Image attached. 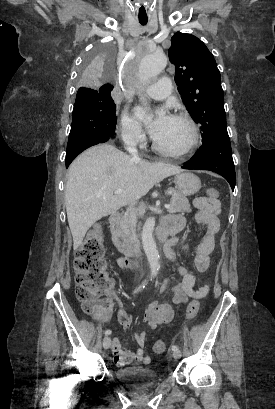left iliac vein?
<instances>
[{
  "label": "left iliac vein",
  "instance_id": "4c4485c4",
  "mask_svg": "<svg viewBox=\"0 0 275 409\" xmlns=\"http://www.w3.org/2000/svg\"><path fill=\"white\" fill-rule=\"evenodd\" d=\"M172 356H173L175 359H179V358L181 357L180 351H179V350L173 351V352H172Z\"/></svg>",
  "mask_w": 275,
  "mask_h": 409
}]
</instances>
